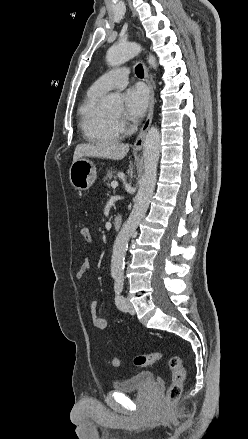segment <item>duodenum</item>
<instances>
[{"label":"duodenum","instance_id":"obj_1","mask_svg":"<svg viewBox=\"0 0 248 439\" xmlns=\"http://www.w3.org/2000/svg\"><path fill=\"white\" fill-rule=\"evenodd\" d=\"M123 223V217L121 214H117L115 215L114 219H113V227L114 229L118 230L120 229V227L122 226Z\"/></svg>","mask_w":248,"mask_h":439}]
</instances>
